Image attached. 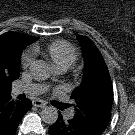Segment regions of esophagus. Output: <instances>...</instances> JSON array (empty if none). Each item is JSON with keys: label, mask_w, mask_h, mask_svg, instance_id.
<instances>
[{"label": "esophagus", "mask_w": 135, "mask_h": 135, "mask_svg": "<svg viewBox=\"0 0 135 135\" xmlns=\"http://www.w3.org/2000/svg\"><path fill=\"white\" fill-rule=\"evenodd\" d=\"M33 105H34L35 107L44 108V107L46 106V103H45L43 100L37 99V100H34V101H33Z\"/></svg>", "instance_id": "34e87169"}]
</instances>
